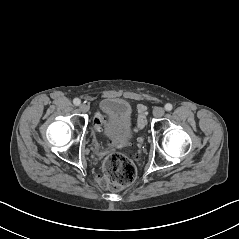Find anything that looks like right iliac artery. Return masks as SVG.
Wrapping results in <instances>:
<instances>
[{
  "label": "right iliac artery",
  "mask_w": 239,
  "mask_h": 239,
  "mask_svg": "<svg viewBox=\"0 0 239 239\" xmlns=\"http://www.w3.org/2000/svg\"><path fill=\"white\" fill-rule=\"evenodd\" d=\"M73 103H74V105L78 106V105H80L81 101H80V99L75 98V99L73 100Z\"/></svg>",
  "instance_id": "1"
}]
</instances>
